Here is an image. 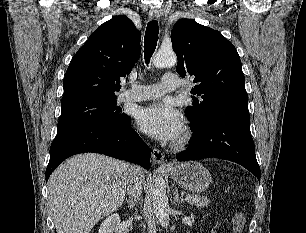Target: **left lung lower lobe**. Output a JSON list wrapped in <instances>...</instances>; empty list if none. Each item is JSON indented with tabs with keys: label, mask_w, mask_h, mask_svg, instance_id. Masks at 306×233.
I'll return each mask as SVG.
<instances>
[{
	"label": "left lung lower lobe",
	"mask_w": 306,
	"mask_h": 233,
	"mask_svg": "<svg viewBox=\"0 0 306 233\" xmlns=\"http://www.w3.org/2000/svg\"><path fill=\"white\" fill-rule=\"evenodd\" d=\"M188 149L176 155L178 160L216 157L245 167L260 181V168L250 133V119L219 118L192 130Z\"/></svg>",
	"instance_id": "left-lung-lower-lobe-1"
}]
</instances>
